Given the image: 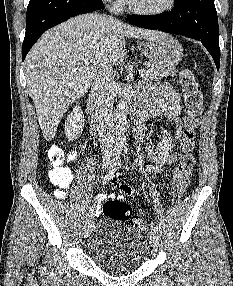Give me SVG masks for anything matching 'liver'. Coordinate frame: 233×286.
Returning <instances> with one entry per match:
<instances>
[{
    "label": "liver",
    "instance_id": "6515ba94",
    "mask_svg": "<svg viewBox=\"0 0 233 286\" xmlns=\"http://www.w3.org/2000/svg\"><path fill=\"white\" fill-rule=\"evenodd\" d=\"M162 35L94 13L47 31L25 59L27 89L44 138H54L64 113L87 92L101 65L123 60L127 37L155 40Z\"/></svg>",
    "mask_w": 233,
    "mask_h": 286
}]
</instances>
